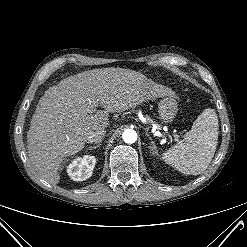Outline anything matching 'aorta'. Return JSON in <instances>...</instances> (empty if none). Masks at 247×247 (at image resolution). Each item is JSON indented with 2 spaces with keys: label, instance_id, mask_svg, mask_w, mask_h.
<instances>
[{
  "label": "aorta",
  "instance_id": "1",
  "mask_svg": "<svg viewBox=\"0 0 247 247\" xmlns=\"http://www.w3.org/2000/svg\"><path fill=\"white\" fill-rule=\"evenodd\" d=\"M122 139L125 143L132 144L137 140V133L135 130L126 129L122 134Z\"/></svg>",
  "mask_w": 247,
  "mask_h": 247
}]
</instances>
